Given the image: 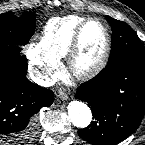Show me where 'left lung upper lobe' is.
<instances>
[{
  "label": "left lung upper lobe",
  "mask_w": 145,
  "mask_h": 145,
  "mask_svg": "<svg viewBox=\"0 0 145 145\" xmlns=\"http://www.w3.org/2000/svg\"><path fill=\"white\" fill-rule=\"evenodd\" d=\"M111 25L112 47L107 66H114L124 62L145 65V47L132 28L123 21L106 16Z\"/></svg>",
  "instance_id": "obj_1"
}]
</instances>
